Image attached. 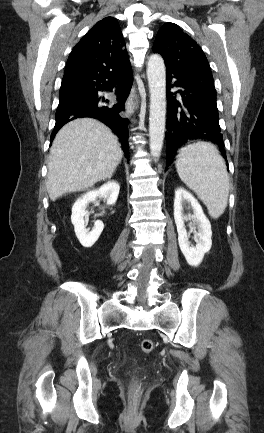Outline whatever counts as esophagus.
I'll list each match as a JSON object with an SVG mask.
<instances>
[{"label":"esophagus","instance_id":"esophagus-1","mask_svg":"<svg viewBox=\"0 0 264 433\" xmlns=\"http://www.w3.org/2000/svg\"><path fill=\"white\" fill-rule=\"evenodd\" d=\"M138 106H139V95L137 94L135 87H133L126 101V105H125L126 111L129 114H132L135 112V110L138 109Z\"/></svg>","mask_w":264,"mask_h":433}]
</instances>
